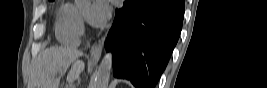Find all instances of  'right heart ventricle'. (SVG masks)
I'll return each mask as SVG.
<instances>
[{
  "label": "right heart ventricle",
  "instance_id": "obj_1",
  "mask_svg": "<svg viewBox=\"0 0 267 88\" xmlns=\"http://www.w3.org/2000/svg\"><path fill=\"white\" fill-rule=\"evenodd\" d=\"M79 17L76 6L65 4L60 7L56 24V34L60 42L65 45L77 44L79 39L77 21Z\"/></svg>",
  "mask_w": 267,
  "mask_h": 88
}]
</instances>
